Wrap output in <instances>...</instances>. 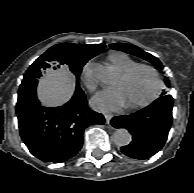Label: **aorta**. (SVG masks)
<instances>
[{"instance_id":"1","label":"aorta","mask_w":194,"mask_h":193,"mask_svg":"<svg viewBox=\"0 0 194 193\" xmlns=\"http://www.w3.org/2000/svg\"><path fill=\"white\" fill-rule=\"evenodd\" d=\"M93 74L100 82L104 84H111L114 80L113 71L101 64L95 65ZM114 142L118 146H127L131 142V135L128 130L124 128L117 129L113 135Z\"/></svg>"}]
</instances>
